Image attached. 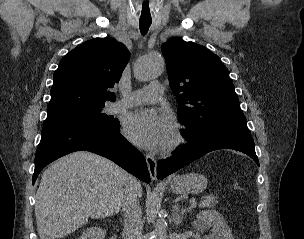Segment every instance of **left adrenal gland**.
I'll return each instance as SVG.
<instances>
[{"mask_svg": "<svg viewBox=\"0 0 304 239\" xmlns=\"http://www.w3.org/2000/svg\"><path fill=\"white\" fill-rule=\"evenodd\" d=\"M173 220L175 224L180 225L182 223L183 217L187 214V212L190 211L189 208H182L180 209V206L178 203H175L173 205Z\"/></svg>", "mask_w": 304, "mask_h": 239, "instance_id": "left-adrenal-gland-1", "label": "left adrenal gland"}]
</instances>
